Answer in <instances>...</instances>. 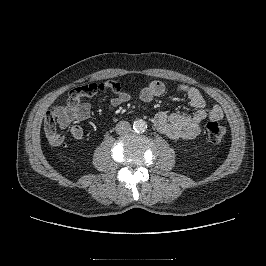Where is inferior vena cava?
<instances>
[{
	"instance_id": "1",
	"label": "inferior vena cava",
	"mask_w": 266,
	"mask_h": 266,
	"mask_svg": "<svg viewBox=\"0 0 266 266\" xmlns=\"http://www.w3.org/2000/svg\"><path fill=\"white\" fill-rule=\"evenodd\" d=\"M115 130L119 135L127 134L131 131V125L127 121H120L116 124Z\"/></svg>"
}]
</instances>
